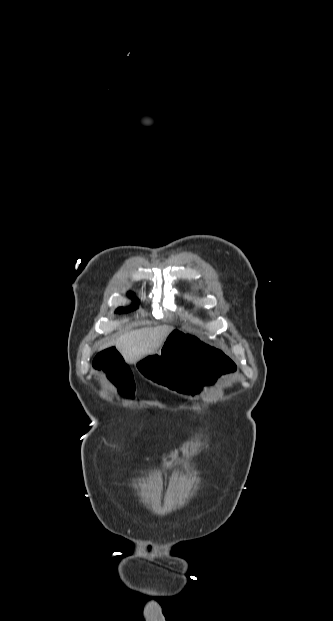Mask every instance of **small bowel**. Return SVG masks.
Returning a JSON list of instances; mask_svg holds the SVG:
<instances>
[{"label":"small bowel","mask_w":333,"mask_h":621,"mask_svg":"<svg viewBox=\"0 0 333 621\" xmlns=\"http://www.w3.org/2000/svg\"><path fill=\"white\" fill-rule=\"evenodd\" d=\"M93 367L103 372L121 395L130 396L134 393L131 368L117 348L109 347L99 352L93 360Z\"/></svg>","instance_id":"c3829d8e"}]
</instances>
